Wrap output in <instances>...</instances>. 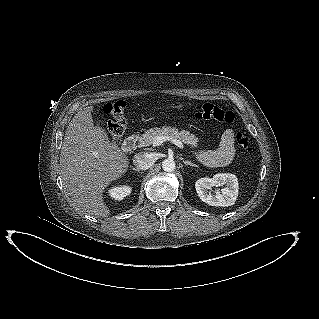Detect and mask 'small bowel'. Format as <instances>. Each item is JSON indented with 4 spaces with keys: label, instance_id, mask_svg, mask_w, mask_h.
Listing matches in <instances>:
<instances>
[{
    "label": "small bowel",
    "instance_id": "c3829d8e",
    "mask_svg": "<svg viewBox=\"0 0 319 319\" xmlns=\"http://www.w3.org/2000/svg\"><path fill=\"white\" fill-rule=\"evenodd\" d=\"M235 135L231 129H227L215 150H200L198 159L209 167H222L228 165L235 156Z\"/></svg>",
    "mask_w": 319,
    "mask_h": 319
}]
</instances>
